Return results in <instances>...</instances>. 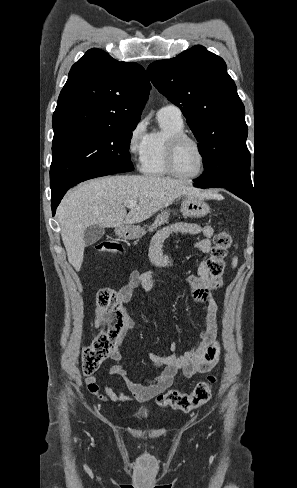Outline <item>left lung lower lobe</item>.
Returning a JSON list of instances; mask_svg holds the SVG:
<instances>
[{
    "instance_id": "0a47b994",
    "label": "left lung lower lobe",
    "mask_w": 297,
    "mask_h": 488,
    "mask_svg": "<svg viewBox=\"0 0 297 488\" xmlns=\"http://www.w3.org/2000/svg\"><path fill=\"white\" fill-rule=\"evenodd\" d=\"M223 188H226L227 190H229L230 192H232L236 196L240 197L241 199H243L244 201H246L247 203L252 205V203H253V195L252 194H247V193H244L240 190H237V189H234V188L228 187V186H224Z\"/></svg>"
}]
</instances>
